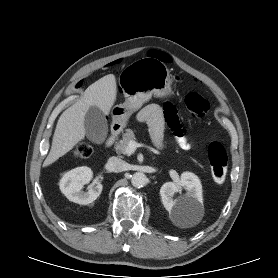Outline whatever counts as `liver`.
Wrapping results in <instances>:
<instances>
[{
  "instance_id": "obj_1",
  "label": "liver",
  "mask_w": 278,
  "mask_h": 278,
  "mask_svg": "<svg viewBox=\"0 0 278 278\" xmlns=\"http://www.w3.org/2000/svg\"><path fill=\"white\" fill-rule=\"evenodd\" d=\"M116 95V78L113 74H108L91 84L82 98L66 109L59 117L51 149L43 166L46 167L54 163L84 139V119L90 106H96L105 115H108L115 103Z\"/></svg>"
}]
</instances>
